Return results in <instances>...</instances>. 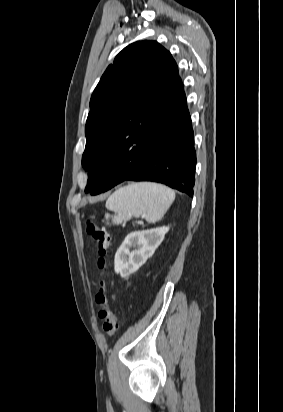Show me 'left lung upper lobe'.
Masks as SVG:
<instances>
[{
	"label": "left lung upper lobe",
	"mask_w": 283,
	"mask_h": 412,
	"mask_svg": "<svg viewBox=\"0 0 283 412\" xmlns=\"http://www.w3.org/2000/svg\"><path fill=\"white\" fill-rule=\"evenodd\" d=\"M182 89L176 62L157 42L130 44L116 56L90 100L82 156L86 192L98 193L94 178L108 154L137 157L143 152Z\"/></svg>",
	"instance_id": "1"
}]
</instances>
